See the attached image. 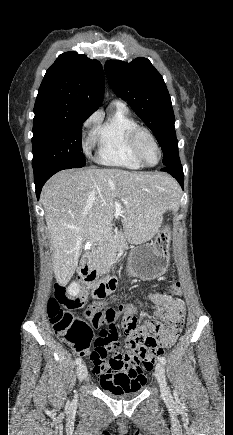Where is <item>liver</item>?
Wrapping results in <instances>:
<instances>
[{
	"instance_id": "liver-1",
	"label": "liver",
	"mask_w": 233,
	"mask_h": 435,
	"mask_svg": "<svg viewBox=\"0 0 233 435\" xmlns=\"http://www.w3.org/2000/svg\"><path fill=\"white\" fill-rule=\"evenodd\" d=\"M180 195L178 183L160 172L89 168L55 174L44 185L41 202L56 280L67 283L71 279L86 241L111 237L113 217L121 216L129 243L152 239L161 228L163 214L177 208Z\"/></svg>"
}]
</instances>
